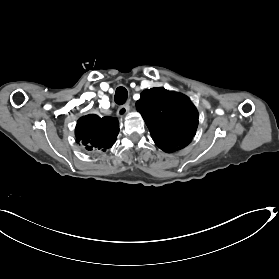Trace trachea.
<instances>
[{"mask_svg": "<svg viewBox=\"0 0 279 279\" xmlns=\"http://www.w3.org/2000/svg\"><path fill=\"white\" fill-rule=\"evenodd\" d=\"M127 97H128V91L124 87H118L116 89L115 97H114L115 103L121 105L125 103Z\"/></svg>", "mask_w": 279, "mask_h": 279, "instance_id": "obj_1", "label": "trachea"}]
</instances>
